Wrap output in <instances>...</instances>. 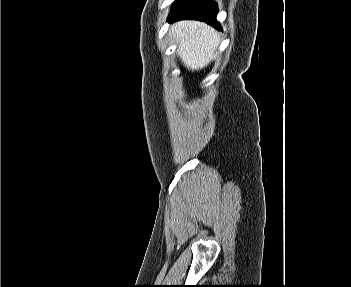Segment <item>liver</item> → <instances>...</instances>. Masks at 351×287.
Masks as SVG:
<instances>
[{"instance_id": "6515ba94", "label": "liver", "mask_w": 351, "mask_h": 287, "mask_svg": "<svg viewBox=\"0 0 351 287\" xmlns=\"http://www.w3.org/2000/svg\"><path fill=\"white\" fill-rule=\"evenodd\" d=\"M178 44L177 54L188 69L200 70L206 67L217 55L220 44L218 32L199 21H179L171 26Z\"/></svg>"}]
</instances>
